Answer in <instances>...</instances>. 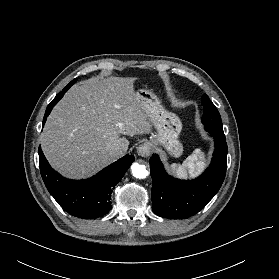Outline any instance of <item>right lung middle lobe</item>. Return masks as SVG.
Segmentation results:
<instances>
[{
  "mask_svg": "<svg viewBox=\"0 0 279 279\" xmlns=\"http://www.w3.org/2000/svg\"><path fill=\"white\" fill-rule=\"evenodd\" d=\"M76 79H74L73 81H71L69 84L73 85L75 83Z\"/></svg>",
  "mask_w": 279,
  "mask_h": 279,
  "instance_id": "dd1d6c3e",
  "label": "right lung middle lobe"
}]
</instances>
